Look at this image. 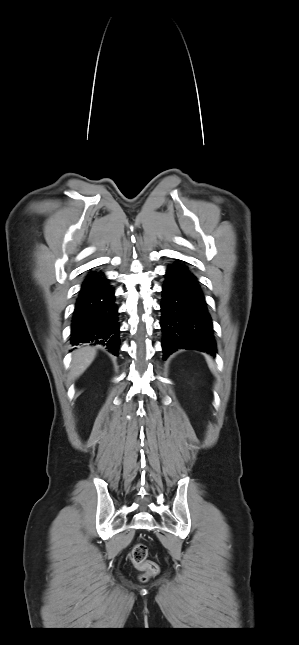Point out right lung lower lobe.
<instances>
[{"mask_svg": "<svg viewBox=\"0 0 299 645\" xmlns=\"http://www.w3.org/2000/svg\"><path fill=\"white\" fill-rule=\"evenodd\" d=\"M114 289L103 272H90L82 283L71 325V344L105 346L118 356L119 322Z\"/></svg>", "mask_w": 299, "mask_h": 645, "instance_id": "right-lung-lower-lobe-1", "label": "right lung lower lobe"}]
</instances>
